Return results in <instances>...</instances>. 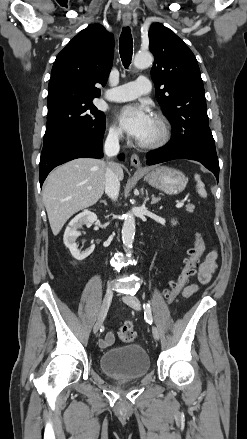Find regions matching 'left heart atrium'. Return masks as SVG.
<instances>
[{
    "label": "left heart atrium",
    "mask_w": 247,
    "mask_h": 439,
    "mask_svg": "<svg viewBox=\"0 0 247 439\" xmlns=\"http://www.w3.org/2000/svg\"><path fill=\"white\" fill-rule=\"evenodd\" d=\"M118 118L127 134L139 141L147 135L153 120L144 105L125 106Z\"/></svg>",
    "instance_id": "obj_1"
}]
</instances>
